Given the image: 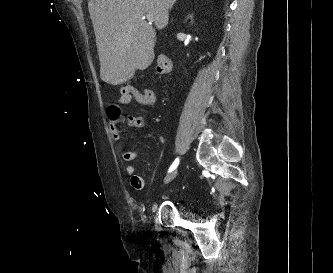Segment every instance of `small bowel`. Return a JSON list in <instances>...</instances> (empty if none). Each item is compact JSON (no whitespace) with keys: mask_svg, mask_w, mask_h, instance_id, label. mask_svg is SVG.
Listing matches in <instances>:
<instances>
[{"mask_svg":"<svg viewBox=\"0 0 333 273\" xmlns=\"http://www.w3.org/2000/svg\"><path fill=\"white\" fill-rule=\"evenodd\" d=\"M155 100H156V96L154 93V88H143V91L136 90L131 95L122 94L121 97L119 98V100L117 101V103L113 105V107L116 111L112 114H110V113L109 114L112 116L116 115V113L118 112V110L121 107H123L133 101H136L141 105L152 106V105H154ZM146 124L147 123H146L145 118H143L141 116L131 118V120L129 121V126L132 128H137V129L145 127ZM110 130H111V134H112L114 141L119 143L121 141V136H120L118 129L116 128V126L114 124L110 126ZM121 155H122L123 160L126 162H133L137 159L144 157V154H142V153L132 151V150H124V149L122 150ZM125 170H126V173L130 176V182H131L132 187L136 190H142L144 188V182H143L142 177L136 174L135 166L132 164L127 165Z\"/></svg>","mask_w":333,"mask_h":273,"instance_id":"c3829d8e","label":"small bowel"}]
</instances>
